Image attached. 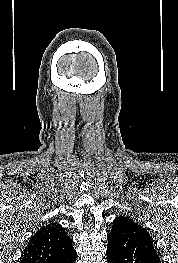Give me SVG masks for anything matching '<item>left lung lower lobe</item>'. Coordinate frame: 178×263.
Returning <instances> with one entry per match:
<instances>
[{
	"label": "left lung lower lobe",
	"mask_w": 178,
	"mask_h": 263,
	"mask_svg": "<svg viewBox=\"0 0 178 263\" xmlns=\"http://www.w3.org/2000/svg\"><path fill=\"white\" fill-rule=\"evenodd\" d=\"M107 239L108 263H161L149 233L129 218L117 217Z\"/></svg>",
	"instance_id": "0a47b994"
}]
</instances>
